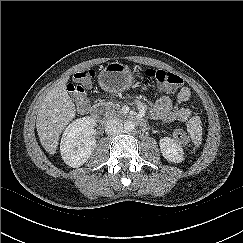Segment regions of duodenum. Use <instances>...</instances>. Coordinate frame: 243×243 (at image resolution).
Masks as SVG:
<instances>
[{
  "label": "duodenum",
  "mask_w": 243,
  "mask_h": 243,
  "mask_svg": "<svg viewBox=\"0 0 243 243\" xmlns=\"http://www.w3.org/2000/svg\"><path fill=\"white\" fill-rule=\"evenodd\" d=\"M90 116H91L92 119L97 120V121L102 119L101 113L97 109H93L90 112ZM127 119L129 121H133L135 123H138L140 126L145 125V121H144L143 117L138 115V114L131 115Z\"/></svg>",
  "instance_id": "duodenum-1"
}]
</instances>
